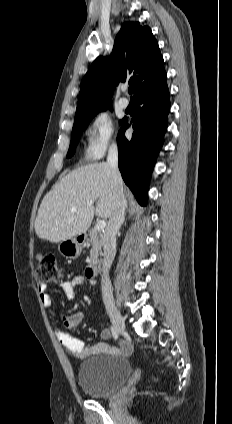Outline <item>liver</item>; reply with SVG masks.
<instances>
[{
    "label": "liver",
    "instance_id": "liver-1",
    "mask_svg": "<svg viewBox=\"0 0 232 424\" xmlns=\"http://www.w3.org/2000/svg\"><path fill=\"white\" fill-rule=\"evenodd\" d=\"M89 201H97L96 206H87ZM73 207L77 211L72 212ZM113 209L114 184L107 163L85 165L61 178L44 196L35 232L40 239L59 243L85 233L94 215L110 218Z\"/></svg>",
    "mask_w": 232,
    "mask_h": 424
}]
</instances>
